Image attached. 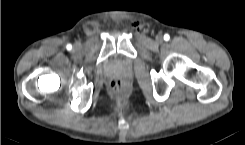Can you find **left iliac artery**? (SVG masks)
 <instances>
[{"label": "left iliac artery", "instance_id": "obj_1", "mask_svg": "<svg viewBox=\"0 0 245 145\" xmlns=\"http://www.w3.org/2000/svg\"><path fill=\"white\" fill-rule=\"evenodd\" d=\"M169 39H170V36H169L168 34H165V35H164V40H165V41H168Z\"/></svg>", "mask_w": 245, "mask_h": 145}]
</instances>
